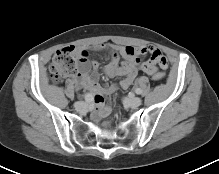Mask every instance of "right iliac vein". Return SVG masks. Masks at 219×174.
<instances>
[{"instance_id": "63e3f726", "label": "right iliac vein", "mask_w": 219, "mask_h": 174, "mask_svg": "<svg viewBox=\"0 0 219 174\" xmlns=\"http://www.w3.org/2000/svg\"><path fill=\"white\" fill-rule=\"evenodd\" d=\"M74 106H75L76 109L81 110V109L85 108L86 103L83 102V101H79V102H76L74 104Z\"/></svg>"}]
</instances>
